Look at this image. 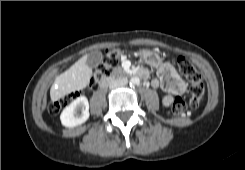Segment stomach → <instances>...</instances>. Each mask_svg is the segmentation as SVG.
<instances>
[{
    "label": "stomach",
    "instance_id": "obj_1",
    "mask_svg": "<svg viewBox=\"0 0 245 170\" xmlns=\"http://www.w3.org/2000/svg\"><path fill=\"white\" fill-rule=\"evenodd\" d=\"M140 58L148 65L157 67L161 64L160 57L153 51L142 49L139 51Z\"/></svg>",
    "mask_w": 245,
    "mask_h": 170
}]
</instances>
